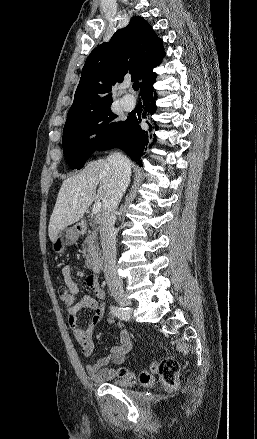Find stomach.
I'll list each match as a JSON object with an SVG mask.
<instances>
[{
    "label": "stomach",
    "instance_id": "stomach-1",
    "mask_svg": "<svg viewBox=\"0 0 257 439\" xmlns=\"http://www.w3.org/2000/svg\"><path fill=\"white\" fill-rule=\"evenodd\" d=\"M79 237V229L77 226L66 227L58 234L52 244V249L56 254L64 252L66 246L75 243Z\"/></svg>",
    "mask_w": 257,
    "mask_h": 439
}]
</instances>
